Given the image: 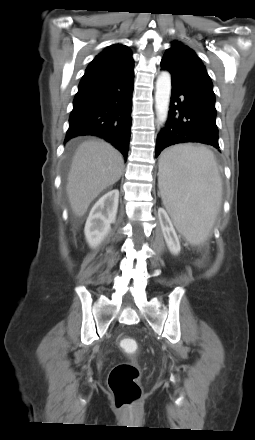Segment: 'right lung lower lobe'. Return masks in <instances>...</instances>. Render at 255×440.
I'll list each match as a JSON object with an SVG mask.
<instances>
[{"instance_id": "98d812e1", "label": "right lung lower lobe", "mask_w": 255, "mask_h": 440, "mask_svg": "<svg viewBox=\"0 0 255 440\" xmlns=\"http://www.w3.org/2000/svg\"><path fill=\"white\" fill-rule=\"evenodd\" d=\"M134 66L95 84L79 87L73 101L65 142L95 135L127 158L131 135Z\"/></svg>"}]
</instances>
